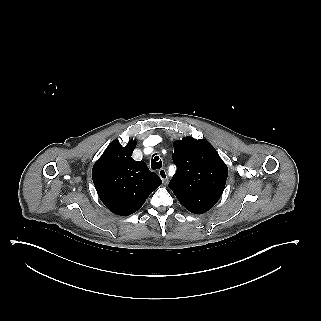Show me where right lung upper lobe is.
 I'll return each mask as SVG.
<instances>
[{"mask_svg": "<svg viewBox=\"0 0 321 321\" xmlns=\"http://www.w3.org/2000/svg\"><path fill=\"white\" fill-rule=\"evenodd\" d=\"M135 147L133 140L124 147L114 140L92 169L99 198L111 212L121 216L136 212L162 183L143 161L131 157Z\"/></svg>", "mask_w": 321, "mask_h": 321, "instance_id": "cb5924a9", "label": "right lung upper lobe"}]
</instances>
